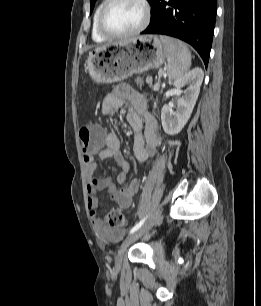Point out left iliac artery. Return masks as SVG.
<instances>
[{
  "instance_id": "left-iliac-artery-1",
  "label": "left iliac artery",
  "mask_w": 261,
  "mask_h": 306,
  "mask_svg": "<svg viewBox=\"0 0 261 306\" xmlns=\"http://www.w3.org/2000/svg\"><path fill=\"white\" fill-rule=\"evenodd\" d=\"M148 218V215L146 217H144L140 222H138L131 230H130V234L134 233L135 231H137L146 221V219Z\"/></svg>"
}]
</instances>
